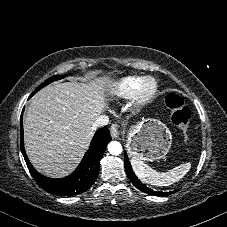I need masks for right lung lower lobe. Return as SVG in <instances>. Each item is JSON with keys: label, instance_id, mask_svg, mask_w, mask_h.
Returning a JSON list of instances; mask_svg holds the SVG:
<instances>
[{"label": "right lung lower lobe", "instance_id": "right-lung-lower-lobe-1", "mask_svg": "<svg viewBox=\"0 0 227 227\" xmlns=\"http://www.w3.org/2000/svg\"><path fill=\"white\" fill-rule=\"evenodd\" d=\"M21 114V137L20 147L27 167L33 176L34 180L45 191L62 196H73L80 194L90 188L97 179L100 167V159L103 156L106 145L111 141V136L107 127L99 129L89 146L88 151L84 155L81 163L76 170L67 177L60 179H53L38 173L30 163L24 148L23 139V124Z\"/></svg>", "mask_w": 227, "mask_h": 227}]
</instances>
